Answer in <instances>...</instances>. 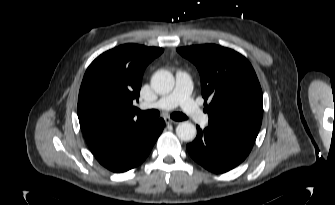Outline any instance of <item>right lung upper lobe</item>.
<instances>
[{
    "instance_id": "cb5924a9",
    "label": "right lung upper lobe",
    "mask_w": 335,
    "mask_h": 205,
    "mask_svg": "<svg viewBox=\"0 0 335 205\" xmlns=\"http://www.w3.org/2000/svg\"><path fill=\"white\" fill-rule=\"evenodd\" d=\"M163 49L125 44L104 52L87 68L78 97V118L94 155L126 149L147 136L156 119L134 112L146 66Z\"/></svg>"
}]
</instances>
